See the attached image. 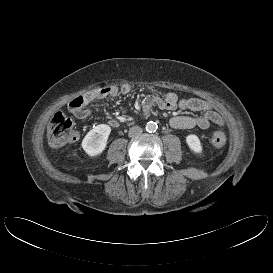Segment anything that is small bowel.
<instances>
[{
  "label": "small bowel",
  "instance_id": "c3829d8e",
  "mask_svg": "<svg viewBox=\"0 0 273 273\" xmlns=\"http://www.w3.org/2000/svg\"><path fill=\"white\" fill-rule=\"evenodd\" d=\"M132 90L131 85L124 84L120 88L106 87L101 90L93 91L84 97L79 106H75L73 101L69 103V111L80 120L86 119L91 115L87 109L88 105L99 99L115 97L119 92L128 94ZM153 107L164 110H175L179 108L182 111L199 112L196 117L186 115H176L170 119V125L176 129H192L199 127L208 129L210 125L224 123L222 115L207 101L200 98H179L175 93H168L165 97L149 95L142 102V114L147 115ZM112 125L118 124V121H112Z\"/></svg>",
  "mask_w": 273,
  "mask_h": 273
}]
</instances>
